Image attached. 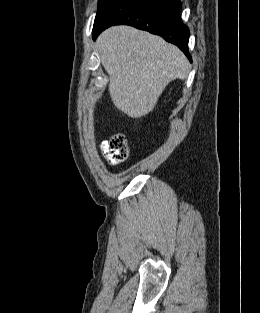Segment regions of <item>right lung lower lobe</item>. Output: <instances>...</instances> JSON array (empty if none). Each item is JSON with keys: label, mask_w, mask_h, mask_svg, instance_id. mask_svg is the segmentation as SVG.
<instances>
[{"label": "right lung lower lobe", "mask_w": 260, "mask_h": 313, "mask_svg": "<svg viewBox=\"0 0 260 313\" xmlns=\"http://www.w3.org/2000/svg\"><path fill=\"white\" fill-rule=\"evenodd\" d=\"M180 0H119L93 27V39L112 25H131L162 36L189 58V29L179 17Z\"/></svg>", "instance_id": "1"}]
</instances>
